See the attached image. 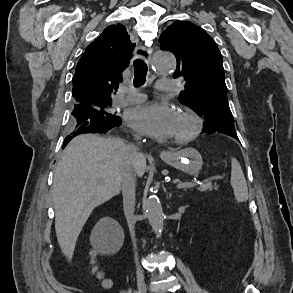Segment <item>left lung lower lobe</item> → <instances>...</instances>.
I'll return each mask as SVG.
<instances>
[{
	"label": "left lung lower lobe",
	"instance_id": "0a47b994",
	"mask_svg": "<svg viewBox=\"0 0 293 293\" xmlns=\"http://www.w3.org/2000/svg\"><path fill=\"white\" fill-rule=\"evenodd\" d=\"M225 134L230 135V136L234 137L235 139H237V140L239 141L236 132H227V133H225Z\"/></svg>",
	"mask_w": 293,
	"mask_h": 293
}]
</instances>
